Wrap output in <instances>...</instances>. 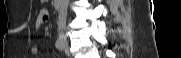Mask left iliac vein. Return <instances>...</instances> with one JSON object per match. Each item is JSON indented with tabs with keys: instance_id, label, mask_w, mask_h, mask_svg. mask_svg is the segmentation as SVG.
<instances>
[{
	"instance_id": "4c4485c4",
	"label": "left iliac vein",
	"mask_w": 181,
	"mask_h": 58,
	"mask_svg": "<svg viewBox=\"0 0 181 58\" xmlns=\"http://www.w3.org/2000/svg\"><path fill=\"white\" fill-rule=\"evenodd\" d=\"M65 53H66V54H69V50H68V46H67V42H66V44H65Z\"/></svg>"
}]
</instances>
